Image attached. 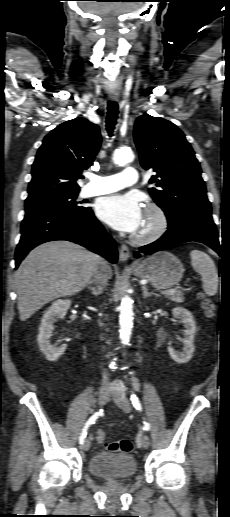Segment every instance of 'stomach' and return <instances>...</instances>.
I'll return each instance as SVG.
<instances>
[{
    "mask_svg": "<svg viewBox=\"0 0 230 517\" xmlns=\"http://www.w3.org/2000/svg\"><path fill=\"white\" fill-rule=\"evenodd\" d=\"M131 271L135 276L147 279L157 288L168 289L179 283L184 268L176 256L161 251L132 266Z\"/></svg>",
    "mask_w": 230,
    "mask_h": 517,
    "instance_id": "1",
    "label": "stomach"
}]
</instances>
